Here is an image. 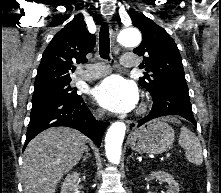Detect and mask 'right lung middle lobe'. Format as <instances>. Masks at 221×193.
Returning a JSON list of instances; mask_svg holds the SVG:
<instances>
[{
	"label": "right lung middle lobe",
	"instance_id": "right-lung-middle-lobe-1",
	"mask_svg": "<svg viewBox=\"0 0 221 193\" xmlns=\"http://www.w3.org/2000/svg\"><path fill=\"white\" fill-rule=\"evenodd\" d=\"M70 81L48 83L34 86L32 103L48 99H70L74 100L80 96L76 89L69 86Z\"/></svg>",
	"mask_w": 221,
	"mask_h": 193
}]
</instances>
